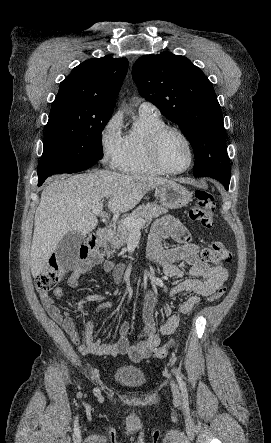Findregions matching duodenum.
Here are the masks:
<instances>
[{
    "label": "duodenum",
    "instance_id": "duodenum-1",
    "mask_svg": "<svg viewBox=\"0 0 271 443\" xmlns=\"http://www.w3.org/2000/svg\"><path fill=\"white\" fill-rule=\"evenodd\" d=\"M97 237L102 241H109L113 237V233L108 229H99L97 231Z\"/></svg>",
    "mask_w": 271,
    "mask_h": 443
}]
</instances>
